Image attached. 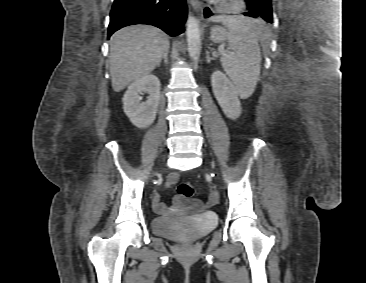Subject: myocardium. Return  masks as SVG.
<instances>
[{
    "instance_id": "f54148a6",
    "label": "myocardium",
    "mask_w": 366,
    "mask_h": 283,
    "mask_svg": "<svg viewBox=\"0 0 366 283\" xmlns=\"http://www.w3.org/2000/svg\"><path fill=\"white\" fill-rule=\"evenodd\" d=\"M243 0H220V5L223 9L230 12H238L244 8Z\"/></svg>"
}]
</instances>
